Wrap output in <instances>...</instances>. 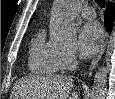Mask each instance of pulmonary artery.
<instances>
[{
    "mask_svg": "<svg viewBox=\"0 0 115 99\" xmlns=\"http://www.w3.org/2000/svg\"><path fill=\"white\" fill-rule=\"evenodd\" d=\"M81 16L87 20H93L95 18V11L92 7H84L81 10Z\"/></svg>",
    "mask_w": 115,
    "mask_h": 99,
    "instance_id": "pulmonary-artery-1",
    "label": "pulmonary artery"
}]
</instances>
